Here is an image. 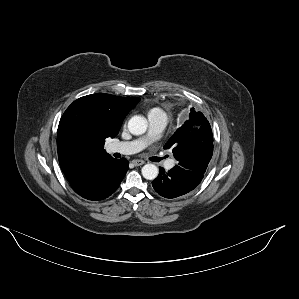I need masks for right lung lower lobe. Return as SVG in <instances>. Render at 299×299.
<instances>
[{
  "label": "right lung lower lobe",
  "instance_id": "obj_1",
  "mask_svg": "<svg viewBox=\"0 0 299 299\" xmlns=\"http://www.w3.org/2000/svg\"><path fill=\"white\" fill-rule=\"evenodd\" d=\"M129 163L125 158L112 157L93 162L78 180L71 182L73 190L88 200H102L119 187Z\"/></svg>",
  "mask_w": 299,
  "mask_h": 299
}]
</instances>
